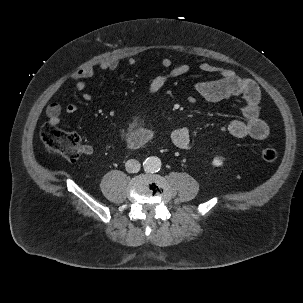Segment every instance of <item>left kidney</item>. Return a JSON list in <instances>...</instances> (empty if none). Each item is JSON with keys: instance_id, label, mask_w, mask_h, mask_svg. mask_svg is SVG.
Wrapping results in <instances>:
<instances>
[{"instance_id": "5707ae66", "label": "left kidney", "mask_w": 303, "mask_h": 303, "mask_svg": "<svg viewBox=\"0 0 303 303\" xmlns=\"http://www.w3.org/2000/svg\"><path fill=\"white\" fill-rule=\"evenodd\" d=\"M213 165L216 166V167H219V166H222L223 165V161L221 158L219 157H216L213 159Z\"/></svg>"}]
</instances>
